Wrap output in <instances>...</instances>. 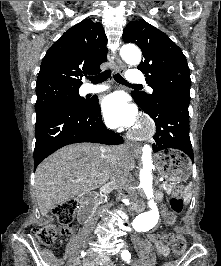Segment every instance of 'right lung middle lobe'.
<instances>
[{"label":"right lung middle lobe","instance_id":"1","mask_svg":"<svg viewBox=\"0 0 221 266\" xmlns=\"http://www.w3.org/2000/svg\"><path fill=\"white\" fill-rule=\"evenodd\" d=\"M36 95L35 110L37 117L56 106L70 105L80 107L86 103V100L79 95V87L64 85L41 86L36 87Z\"/></svg>","mask_w":221,"mask_h":266}]
</instances>
